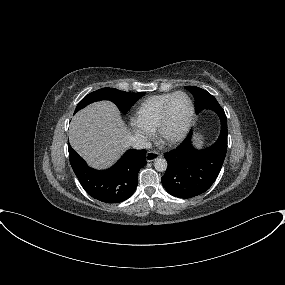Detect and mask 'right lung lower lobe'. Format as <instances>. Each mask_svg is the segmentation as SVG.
Listing matches in <instances>:
<instances>
[{"instance_id": "obj_1", "label": "right lung lower lobe", "mask_w": 285, "mask_h": 285, "mask_svg": "<svg viewBox=\"0 0 285 285\" xmlns=\"http://www.w3.org/2000/svg\"><path fill=\"white\" fill-rule=\"evenodd\" d=\"M69 160L74 173L85 191L104 203H119L135 191L138 172L146 164L145 150H128L107 170L90 168L68 143Z\"/></svg>"}]
</instances>
